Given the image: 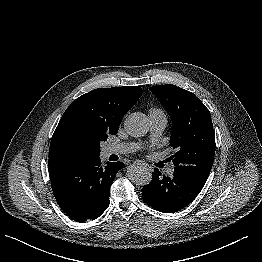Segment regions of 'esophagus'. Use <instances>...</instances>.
I'll use <instances>...</instances> for the list:
<instances>
[{
	"mask_svg": "<svg viewBox=\"0 0 262 262\" xmlns=\"http://www.w3.org/2000/svg\"><path fill=\"white\" fill-rule=\"evenodd\" d=\"M135 164H140V165H142L145 169L151 170V167H150L148 164H146V163H144V162H142V161L135 162Z\"/></svg>",
	"mask_w": 262,
	"mask_h": 262,
	"instance_id": "esophagus-1",
	"label": "esophagus"
}]
</instances>
